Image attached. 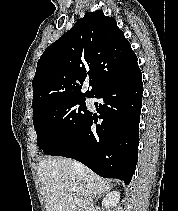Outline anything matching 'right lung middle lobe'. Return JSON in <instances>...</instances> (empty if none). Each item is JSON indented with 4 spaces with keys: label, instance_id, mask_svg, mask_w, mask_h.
Instances as JSON below:
<instances>
[{
    "label": "right lung middle lobe",
    "instance_id": "dd1d6c3e",
    "mask_svg": "<svg viewBox=\"0 0 178 211\" xmlns=\"http://www.w3.org/2000/svg\"><path fill=\"white\" fill-rule=\"evenodd\" d=\"M89 114L85 98L61 101L41 109L33 115L38 146L50 154L84 125Z\"/></svg>",
    "mask_w": 178,
    "mask_h": 211
}]
</instances>
